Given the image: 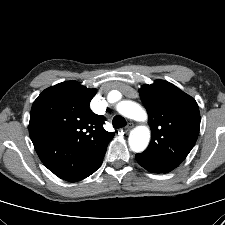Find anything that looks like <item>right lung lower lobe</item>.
Segmentation results:
<instances>
[{
    "label": "right lung lower lobe",
    "mask_w": 225,
    "mask_h": 225,
    "mask_svg": "<svg viewBox=\"0 0 225 225\" xmlns=\"http://www.w3.org/2000/svg\"><path fill=\"white\" fill-rule=\"evenodd\" d=\"M105 152H106V150H105L104 153L101 155L100 161H99V163L96 165V167H95L93 173L100 167V165H101V163H102V161H103V157H104V155H105Z\"/></svg>",
    "instance_id": "right-lung-lower-lobe-1"
}]
</instances>
